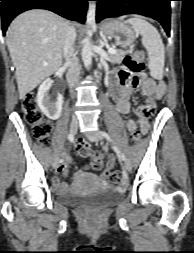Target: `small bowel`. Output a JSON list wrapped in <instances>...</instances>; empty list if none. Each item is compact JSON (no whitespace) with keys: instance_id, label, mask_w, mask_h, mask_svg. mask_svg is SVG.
I'll return each mask as SVG.
<instances>
[{"instance_id":"c3829d8e","label":"small bowel","mask_w":194,"mask_h":253,"mask_svg":"<svg viewBox=\"0 0 194 253\" xmlns=\"http://www.w3.org/2000/svg\"><path fill=\"white\" fill-rule=\"evenodd\" d=\"M135 89H137L142 96L158 100L162 97L165 87L164 84L147 78L143 74L134 75L125 69L121 70L110 83V93L116 103V108L119 113H130L132 109L131 97ZM140 107L136 111V118H131L126 123V127L130 133L139 131L141 134H146L149 130V117L151 115L141 114L139 111ZM115 161L116 157L113 154L107 156L106 167L102 172L103 177H107L108 173L114 167ZM69 162L70 157L66 155L65 162L58 169V174L66 176ZM53 182L55 188L59 192H65L68 189L66 182L61 180L59 176H55Z\"/></svg>"}]
</instances>
